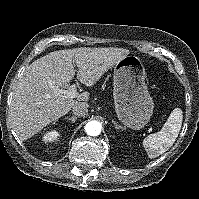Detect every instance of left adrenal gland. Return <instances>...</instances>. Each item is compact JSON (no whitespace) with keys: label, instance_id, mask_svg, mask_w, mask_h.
<instances>
[{"label":"left adrenal gland","instance_id":"obj_1","mask_svg":"<svg viewBox=\"0 0 199 199\" xmlns=\"http://www.w3.org/2000/svg\"><path fill=\"white\" fill-rule=\"evenodd\" d=\"M112 123L115 125V129L118 130V129H123L122 126H120L119 124L116 123V121L112 120Z\"/></svg>","mask_w":199,"mask_h":199}]
</instances>
